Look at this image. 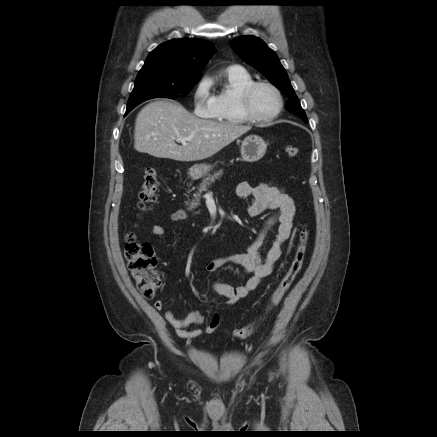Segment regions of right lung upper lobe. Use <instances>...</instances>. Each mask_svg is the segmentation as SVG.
Listing matches in <instances>:
<instances>
[{
	"mask_svg": "<svg viewBox=\"0 0 437 437\" xmlns=\"http://www.w3.org/2000/svg\"><path fill=\"white\" fill-rule=\"evenodd\" d=\"M214 50L211 43L202 39H173L150 52L140 72L162 70L178 77L200 78V71Z\"/></svg>",
	"mask_w": 437,
	"mask_h": 437,
	"instance_id": "1",
	"label": "right lung upper lobe"
}]
</instances>
